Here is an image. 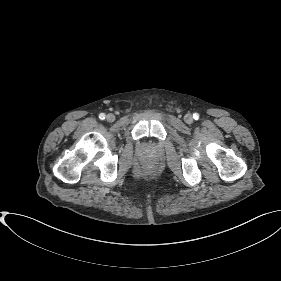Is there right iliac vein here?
I'll return each instance as SVG.
<instances>
[{
    "instance_id": "63e3f726",
    "label": "right iliac vein",
    "mask_w": 281,
    "mask_h": 281,
    "mask_svg": "<svg viewBox=\"0 0 281 281\" xmlns=\"http://www.w3.org/2000/svg\"><path fill=\"white\" fill-rule=\"evenodd\" d=\"M106 120H107L108 122H113V121L115 120V116H114L113 114H108V115L106 116Z\"/></svg>"
}]
</instances>
